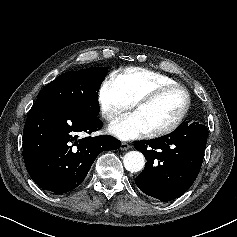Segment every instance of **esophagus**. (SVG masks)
Segmentation results:
<instances>
[{"mask_svg":"<svg viewBox=\"0 0 237 237\" xmlns=\"http://www.w3.org/2000/svg\"><path fill=\"white\" fill-rule=\"evenodd\" d=\"M131 146L127 143V142H122L121 144H120V149L121 150H127V149H129Z\"/></svg>","mask_w":237,"mask_h":237,"instance_id":"esophagus-1","label":"esophagus"}]
</instances>
